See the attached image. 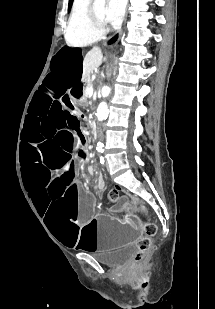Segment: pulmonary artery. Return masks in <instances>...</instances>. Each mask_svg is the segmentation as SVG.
<instances>
[{
  "label": "pulmonary artery",
  "instance_id": "e3ab8cb5",
  "mask_svg": "<svg viewBox=\"0 0 215 309\" xmlns=\"http://www.w3.org/2000/svg\"><path fill=\"white\" fill-rule=\"evenodd\" d=\"M74 8L76 11H85L88 6L87 0H76L73 3Z\"/></svg>",
  "mask_w": 215,
  "mask_h": 309
}]
</instances>
